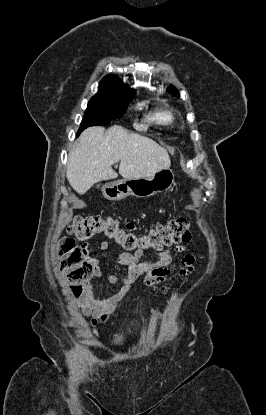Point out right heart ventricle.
<instances>
[{"instance_id": "e07e8e85", "label": "right heart ventricle", "mask_w": 266, "mask_h": 415, "mask_svg": "<svg viewBox=\"0 0 266 415\" xmlns=\"http://www.w3.org/2000/svg\"><path fill=\"white\" fill-rule=\"evenodd\" d=\"M150 120L159 124H168L172 122L173 115L169 110L160 109L150 115Z\"/></svg>"}]
</instances>
